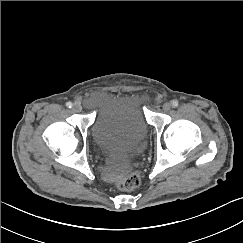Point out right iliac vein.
<instances>
[{"instance_id": "1", "label": "right iliac vein", "mask_w": 243, "mask_h": 243, "mask_svg": "<svg viewBox=\"0 0 243 243\" xmlns=\"http://www.w3.org/2000/svg\"><path fill=\"white\" fill-rule=\"evenodd\" d=\"M72 110L76 113H79L82 111V107L79 104H75L72 108Z\"/></svg>"}]
</instances>
